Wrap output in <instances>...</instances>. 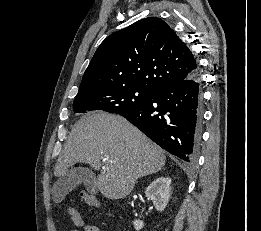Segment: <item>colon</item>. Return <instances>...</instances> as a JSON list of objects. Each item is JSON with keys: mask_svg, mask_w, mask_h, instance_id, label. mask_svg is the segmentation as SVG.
<instances>
[{"mask_svg": "<svg viewBox=\"0 0 261 231\" xmlns=\"http://www.w3.org/2000/svg\"><path fill=\"white\" fill-rule=\"evenodd\" d=\"M84 201L92 206V207H95V208H100L101 207V204L94 198V197H91V196H84Z\"/></svg>", "mask_w": 261, "mask_h": 231, "instance_id": "5ec220e1", "label": "colon"}]
</instances>
